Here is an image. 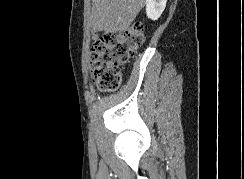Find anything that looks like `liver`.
<instances>
[{"label": "liver", "mask_w": 244, "mask_h": 179, "mask_svg": "<svg viewBox=\"0 0 244 179\" xmlns=\"http://www.w3.org/2000/svg\"><path fill=\"white\" fill-rule=\"evenodd\" d=\"M144 6L145 0H92V30L123 32Z\"/></svg>", "instance_id": "liver-1"}]
</instances>
